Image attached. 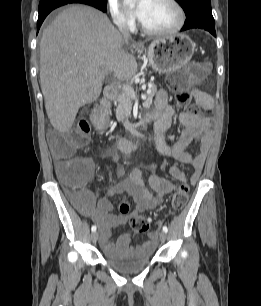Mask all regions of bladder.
Listing matches in <instances>:
<instances>
[{
  "instance_id": "obj_1",
  "label": "bladder",
  "mask_w": 261,
  "mask_h": 306,
  "mask_svg": "<svg viewBox=\"0 0 261 306\" xmlns=\"http://www.w3.org/2000/svg\"><path fill=\"white\" fill-rule=\"evenodd\" d=\"M154 246H134L113 243L112 249H103V259L118 271L132 273L146 267L153 259Z\"/></svg>"
}]
</instances>
